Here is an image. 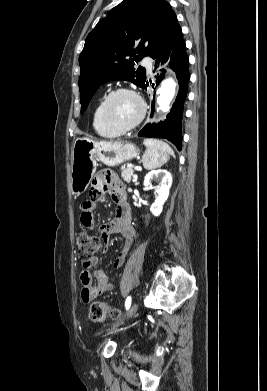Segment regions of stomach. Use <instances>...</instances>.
I'll return each mask as SVG.
<instances>
[{"mask_svg": "<svg viewBox=\"0 0 267 391\" xmlns=\"http://www.w3.org/2000/svg\"><path fill=\"white\" fill-rule=\"evenodd\" d=\"M140 150L130 142H98L77 138L72 147L71 192L79 196L88 188L96 172L97 162L117 166L138 156Z\"/></svg>", "mask_w": 267, "mask_h": 391, "instance_id": "obj_1", "label": "stomach"}]
</instances>
